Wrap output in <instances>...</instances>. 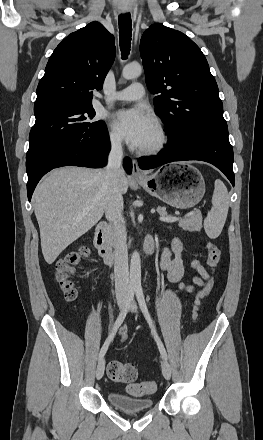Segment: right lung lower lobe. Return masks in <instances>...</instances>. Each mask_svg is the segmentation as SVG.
<instances>
[{
  "mask_svg": "<svg viewBox=\"0 0 263 440\" xmlns=\"http://www.w3.org/2000/svg\"><path fill=\"white\" fill-rule=\"evenodd\" d=\"M109 151L110 143L106 128L98 135L59 141L26 159L29 201L39 180L50 170L67 165L101 168L107 163ZM124 168L127 173H131L132 162L129 158L124 159Z\"/></svg>",
  "mask_w": 263,
  "mask_h": 440,
  "instance_id": "right-lung-lower-lobe-1",
  "label": "right lung lower lobe"
}]
</instances>
